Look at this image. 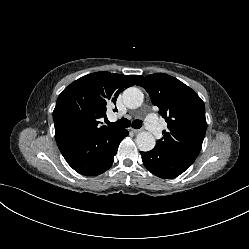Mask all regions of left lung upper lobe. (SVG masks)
I'll use <instances>...</instances> for the list:
<instances>
[{
  "label": "left lung upper lobe",
  "mask_w": 249,
  "mask_h": 249,
  "mask_svg": "<svg viewBox=\"0 0 249 249\" xmlns=\"http://www.w3.org/2000/svg\"><path fill=\"white\" fill-rule=\"evenodd\" d=\"M137 85L149 93L153 105L168 123L157 148L198 156L206 133L205 105L194 90L164 73L143 78Z\"/></svg>",
  "instance_id": "left-lung-upper-lobe-1"
}]
</instances>
